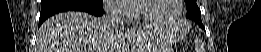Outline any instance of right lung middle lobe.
<instances>
[{
	"label": "right lung middle lobe",
	"mask_w": 261,
	"mask_h": 52,
	"mask_svg": "<svg viewBox=\"0 0 261 52\" xmlns=\"http://www.w3.org/2000/svg\"><path fill=\"white\" fill-rule=\"evenodd\" d=\"M96 2L103 3V0H96Z\"/></svg>",
	"instance_id": "1"
}]
</instances>
